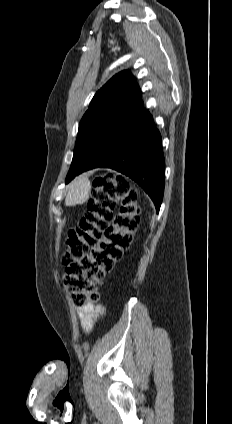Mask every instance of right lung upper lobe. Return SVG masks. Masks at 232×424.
Here are the masks:
<instances>
[{
	"mask_svg": "<svg viewBox=\"0 0 232 424\" xmlns=\"http://www.w3.org/2000/svg\"><path fill=\"white\" fill-rule=\"evenodd\" d=\"M143 104L134 76L123 71L113 76L93 97L89 109L108 106L135 108Z\"/></svg>",
	"mask_w": 232,
	"mask_h": 424,
	"instance_id": "1",
	"label": "right lung upper lobe"
}]
</instances>
